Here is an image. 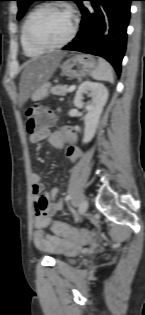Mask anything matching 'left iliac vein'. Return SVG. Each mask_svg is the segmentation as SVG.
Listing matches in <instances>:
<instances>
[{"instance_id":"4c4485c4","label":"left iliac vein","mask_w":145,"mask_h":315,"mask_svg":"<svg viewBox=\"0 0 145 315\" xmlns=\"http://www.w3.org/2000/svg\"><path fill=\"white\" fill-rule=\"evenodd\" d=\"M87 209H88V201L82 200L79 204V207H78V214L80 216L84 215L86 213Z\"/></svg>"}]
</instances>
